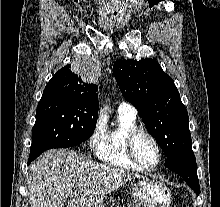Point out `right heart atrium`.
I'll list each match as a JSON object with an SVG mask.
<instances>
[{
  "label": "right heart atrium",
  "instance_id": "right-heart-atrium-1",
  "mask_svg": "<svg viewBox=\"0 0 220 207\" xmlns=\"http://www.w3.org/2000/svg\"><path fill=\"white\" fill-rule=\"evenodd\" d=\"M107 126L105 119L102 115H99L93 125L90 137L89 145L93 150H96L101 144L106 134Z\"/></svg>",
  "mask_w": 220,
  "mask_h": 207
}]
</instances>
